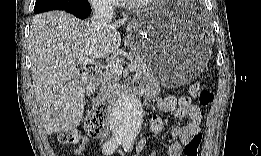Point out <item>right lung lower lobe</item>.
<instances>
[{
	"label": "right lung lower lobe",
	"instance_id": "1",
	"mask_svg": "<svg viewBox=\"0 0 261 156\" xmlns=\"http://www.w3.org/2000/svg\"><path fill=\"white\" fill-rule=\"evenodd\" d=\"M60 10H65V11L75 15L76 17H79L82 19L87 18L91 13V7H90V4L88 1L87 2L82 1V2L75 4L72 7L60 9Z\"/></svg>",
	"mask_w": 261,
	"mask_h": 156
}]
</instances>
